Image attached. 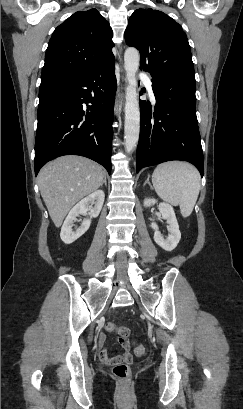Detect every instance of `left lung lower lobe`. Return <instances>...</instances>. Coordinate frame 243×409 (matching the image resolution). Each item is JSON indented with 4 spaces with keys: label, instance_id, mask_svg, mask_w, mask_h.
Returning <instances> with one entry per match:
<instances>
[{
    "label": "left lung lower lobe",
    "instance_id": "left-lung-lower-lobe-1",
    "mask_svg": "<svg viewBox=\"0 0 243 409\" xmlns=\"http://www.w3.org/2000/svg\"><path fill=\"white\" fill-rule=\"evenodd\" d=\"M154 110L140 101L136 171L170 160L188 161L203 176V153L196 117L194 71L172 70L152 77Z\"/></svg>",
    "mask_w": 243,
    "mask_h": 409
}]
</instances>
